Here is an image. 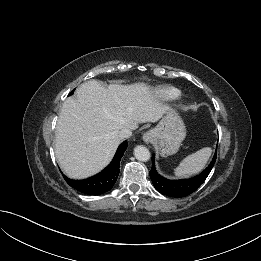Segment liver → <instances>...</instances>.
I'll list each match as a JSON object with an SVG mask.
<instances>
[{
    "label": "liver",
    "instance_id": "liver-1",
    "mask_svg": "<svg viewBox=\"0 0 261 261\" xmlns=\"http://www.w3.org/2000/svg\"><path fill=\"white\" fill-rule=\"evenodd\" d=\"M168 109L144 83L108 88L96 80L82 83L59 114L55 155L60 167L76 179L98 173L113 158L122 128L157 122Z\"/></svg>",
    "mask_w": 261,
    "mask_h": 261
}]
</instances>
